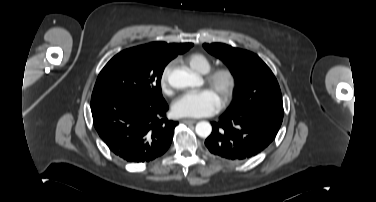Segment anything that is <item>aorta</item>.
<instances>
[{"label":"aorta","instance_id":"obj_1","mask_svg":"<svg viewBox=\"0 0 376 202\" xmlns=\"http://www.w3.org/2000/svg\"><path fill=\"white\" fill-rule=\"evenodd\" d=\"M168 82L173 88L184 89L198 86L200 80L195 73L183 69H175L169 75ZM195 130L198 136L206 138L211 134L212 126L207 121H201L196 124Z\"/></svg>","mask_w":376,"mask_h":202}]
</instances>
